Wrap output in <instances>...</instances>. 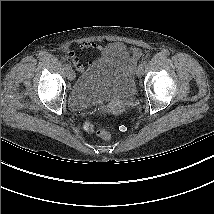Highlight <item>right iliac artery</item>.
<instances>
[{
    "mask_svg": "<svg viewBox=\"0 0 214 214\" xmlns=\"http://www.w3.org/2000/svg\"><path fill=\"white\" fill-rule=\"evenodd\" d=\"M70 67V65L69 64H66V68L68 69Z\"/></svg>",
    "mask_w": 214,
    "mask_h": 214,
    "instance_id": "right-iliac-artery-1",
    "label": "right iliac artery"
}]
</instances>
